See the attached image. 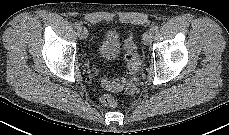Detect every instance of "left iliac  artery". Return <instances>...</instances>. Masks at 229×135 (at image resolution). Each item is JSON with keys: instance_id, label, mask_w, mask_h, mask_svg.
<instances>
[{"instance_id": "1", "label": "left iliac artery", "mask_w": 229, "mask_h": 135, "mask_svg": "<svg viewBox=\"0 0 229 135\" xmlns=\"http://www.w3.org/2000/svg\"><path fill=\"white\" fill-rule=\"evenodd\" d=\"M158 26H154V27H152L151 29H150V31L152 32V33H157L158 32Z\"/></svg>"}]
</instances>
